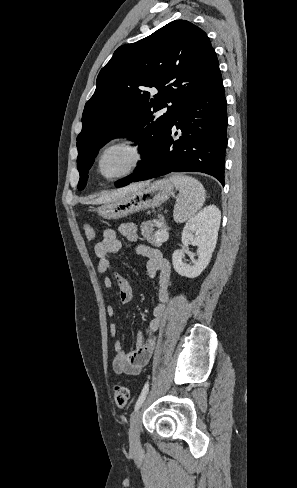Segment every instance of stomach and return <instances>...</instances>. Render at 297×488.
Returning <instances> with one entry per match:
<instances>
[{"label": "stomach", "instance_id": "0dacf381", "mask_svg": "<svg viewBox=\"0 0 297 488\" xmlns=\"http://www.w3.org/2000/svg\"><path fill=\"white\" fill-rule=\"evenodd\" d=\"M173 189L171 180H157L136 191L127 192L115 200L102 204L96 209V212L100 217L107 220L124 218L140 210L161 205L173 193Z\"/></svg>", "mask_w": 297, "mask_h": 488}]
</instances>
